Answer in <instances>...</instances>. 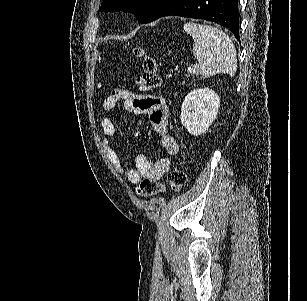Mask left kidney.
Instances as JSON below:
<instances>
[{
  "label": "left kidney",
  "mask_w": 307,
  "mask_h": 301,
  "mask_svg": "<svg viewBox=\"0 0 307 301\" xmlns=\"http://www.w3.org/2000/svg\"><path fill=\"white\" fill-rule=\"evenodd\" d=\"M220 106V96L212 88H194L181 106V122L190 134L198 136L208 130Z\"/></svg>",
  "instance_id": "5707ae66"
}]
</instances>
